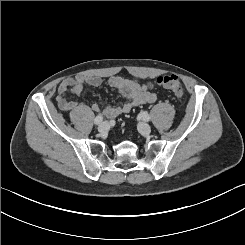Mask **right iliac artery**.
Returning <instances> with one entry per match:
<instances>
[{
    "label": "right iliac artery",
    "mask_w": 245,
    "mask_h": 245,
    "mask_svg": "<svg viewBox=\"0 0 245 245\" xmlns=\"http://www.w3.org/2000/svg\"><path fill=\"white\" fill-rule=\"evenodd\" d=\"M103 116L102 115H98V116H96V118L94 119V123L96 124V125H99L102 121H103Z\"/></svg>",
    "instance_id": "82829eb1"
}]
</instances>
